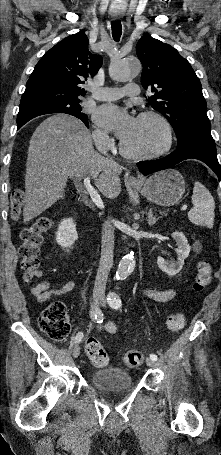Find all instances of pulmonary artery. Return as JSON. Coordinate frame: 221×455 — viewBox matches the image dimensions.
I'll return each instance as SVG.
<instances>
[{
    "label": "pulmonary artery",
    "instance_id": "pulmonary-artery-1",
    "mask_svg": "<svg viewBox=\"0 0 221 455\" xmlns=\"http://www.w3.org/2000/svg\"><path fill=\"white\" fill-rule=\"evenodd\" d=\"M90 91H91V94L89 96L90 99L98 101H113L120 99L125 95H137L139 93V86L136 83H130L123 88L91 87Z\"/></svg>",
    "mask_w": 221,
    "mask_h": 455
}]
</instances>
